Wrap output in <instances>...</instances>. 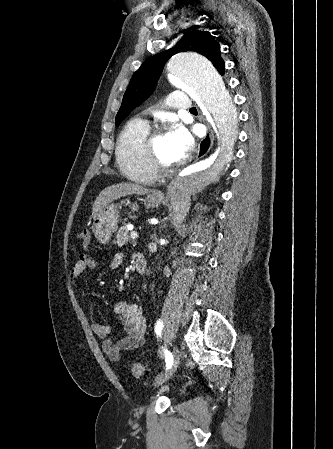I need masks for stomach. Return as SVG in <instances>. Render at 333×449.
Here are the masks:
<instances>
[{
	"label": "stomach",
	"mask_w": 333,
	"mask_h": 449,
	"mask_svg": "<svg viewBox=\"0 0 333 449\" xmlns=\"http://www.w3.org/2000/svg\"><path fill=\"white\" fill-rule=\"evenodd\" d=\"M161 203L159 198L153 195H148L145 199V206L147 208L158 207ZM132 210L137 211V204L130 205ZM119 222V211L114 204L106 205L94 218L93 233L95 238L100 243H106L110 240L112 234L116 231Z\"/></svg>",
	"instance_id": "stomach-1"
}]
</instances>
